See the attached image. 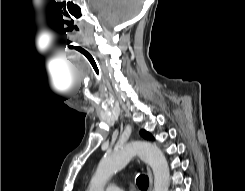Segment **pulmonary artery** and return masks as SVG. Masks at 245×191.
Wrapping results in <instances>:
<instances>
[{
	"label": "pulmonary artery",
	"mask_w": 245,
	"mask_h": 191,
	"mask_svg": "<svg viewBox=\"0 0 245 191\" xmlns=\"http://www.w3.org/2000/svg\"><path fill=\"white\" fill-rule=\"evenodd\" d=\"M106 191H123V189L120 188L118 185L112 183L106 187Z\"/></svg>",
	"instance_id": "1"
}]
</instances>
